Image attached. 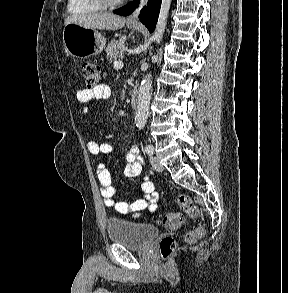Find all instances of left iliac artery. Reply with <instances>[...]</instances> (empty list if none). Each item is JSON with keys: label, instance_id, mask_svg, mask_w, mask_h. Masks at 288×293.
Wrapping results in <instances>:
<instances>
[{"label": "left iliac artery", "instance_id": "1", "mask_svg": "<svg viewBox=\"0 0 288 293\" xmlns=\"http://www.w3.org/2000/svg\"><path fill=\"white\" fill-rule=\"evenodd\" d=\"M145 152L148 154V155H153L154 154V148L152 145H146L145 146Z\"/></svg>", "mask_w": 288, "mask_h": 293}]
</instances>
